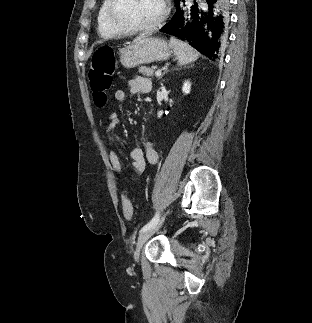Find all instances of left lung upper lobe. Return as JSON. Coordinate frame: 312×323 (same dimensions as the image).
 <instances>
[{
  "mask_svg": "<svg viewBox=\"0 0 312 323\" xmlns=\"http://www.w3.org/2000/svg\"><path fill=\"white\" fill-rule=\"evenodd\" d=\"M174 1L176 2V8H177L180 0H174Z\"/></svg>",
  "mask_w": 312,
  "mask_h": 323,
  "instance_id": "obj_1",
  "label": "left lung upper lobe"
}]
</instances>
